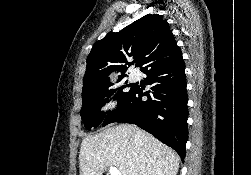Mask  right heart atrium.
Instances as JSON below:
<instances>
[{"label":"right heart atrium","mask_w":251,"mask_h":175,"mask_svg":"<svg viewBox=\"0 0 251 175\" xmlns=\"http://www.w3.org/2000/svg\"><path fill=\"white\" fill-rule=\"evenodd\" d=\"M116 107V101L112 98L109 97L103 104L102 110L104 112H110Z\"/></svg>","instance_id":"obj_1"}]
</instances>
